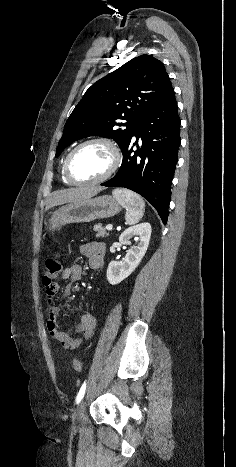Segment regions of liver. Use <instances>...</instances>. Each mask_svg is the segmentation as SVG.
<instances>
[{
    "label": "liver",
    "instance_id": "1",
    "mask_svg": "<svg viewBox=\"0 0 236 467\" xmlns=\"http://www.w3.org/2000/svg\"><path fill=\"white\" fill-rule=\"evenodd\" d=\"M103 188L101 187H79V188H71L67 190L56 191L52 194L51 198L49 199L48 204L46 205L45 210H49L50 208L62 205L65 203L76 202L84 199L91 198L92 196L96 195L100 192Z\"/></svg>",
    "mask_w": 236,
    "mask_h": 467
}]
</instances>
